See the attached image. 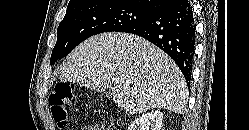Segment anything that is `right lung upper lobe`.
Returning <instances> with one entry per match:
<instances>
[{
	"label": "right lung upper lobe",
	"mask_w": 249,
	"mask_h": 130,
	"mask_svg": "<svg viewBox=\"0 0 249 130\" xmlns=\"http://www.w3.org/2000/svg\"><path fill=\"white\" fill-rule=\"evenodd\" d=\"M96 1H105V0H70L67 10L80 7L86 4H90ZM129 1L138 6H141V7H144V8H147V9H150L156 12L162 9L163 7H165L167 4H169L173 0H129Z\"/></svg>",
	"instance_id": "1"
}]
</instances>
